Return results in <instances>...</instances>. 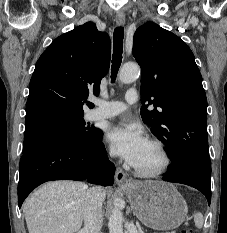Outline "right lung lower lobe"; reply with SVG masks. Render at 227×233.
Masks as SVG:
<instances>
[{"label": "right lung lower lobe", "mask_w": 227, "mask_h": 233, "mask_svg": "<svg viewBox=\"0 0 227 233\" xmlns=\"http://www.w3.org/2000/svg\"><path fill=\"white\" fill-rule=\"evenodd\" d=\"M102 131L83 144H49L23 153L19 164L18 204L29 193L50 180L88 179L103 186L113 185L115 166L101 141Z\"/></svg>", "instance_id": "1"}]
</instances>
